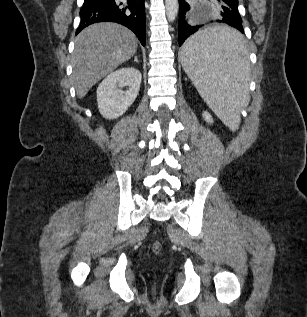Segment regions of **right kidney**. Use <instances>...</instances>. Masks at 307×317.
<instances>
[{"mask_svg":"<svg viewBox=\"0 0 307 317\" xmlns=\"http://www.w3.org/2000/svg\"><path fill=\"white\" fill-rule=\"evenodd\" d=\"M142 76L133 67L120 68L108 75L97 88V104L106 119H116L124 114L135 101ZM128 87L124 91L123 88Z\"/></svg>","mask_w":307,"mask_h":317,"instance_id":"obj_1","label":"right kidney"}]
</instances>
